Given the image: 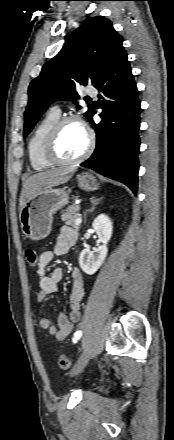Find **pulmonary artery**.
Segmentation results:
<instances>
[{
	"label": "pulmonary artery",
	"mask_w": 174,
	"mask_h": 440,
	"mask_svg": "<svg viewBox=\"0 0 174 440\" xmlns=\"http://www.w3.org/2000/svg\"><path fill=\"white\" fill-rule=\"evenodd\" d=\"M86 93L89 94V95L95 96L96 93H97V90L94 87H92V86H87ZM50 112H52L54 114H57V115H60L61 110L59 109L58 106H54V107H52L50 109Z\"/></svg>",
	"instance_id": "obj_1"
}]
</instances>
